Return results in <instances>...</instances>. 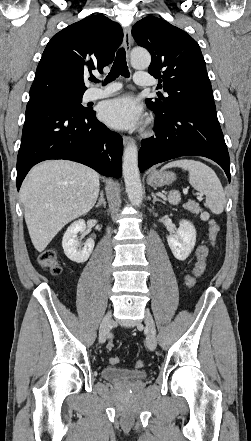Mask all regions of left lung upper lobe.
Instances as JSON below:
<instances>
[{
	"instance_id": "left-lung-upper-lobe-1",
	"label": "left lung upper lobe",
	"mask_w": 251,
	"mask_h": 441,
	"mask_svg": "<svg viewBox=\"0 0 251 441\" xmlns=\"http://www.w3.org/2000/svg\"><path fill=\"white\" fill-rule=\"evenodd\" d=\"M139 46L152 56L148 72L163 82L167 97L146 99L147 106L163 115L187 104L214 103L211 83L198 43L167 21L148 16L132 28Z\"/></svg>"
}]
</instances>
